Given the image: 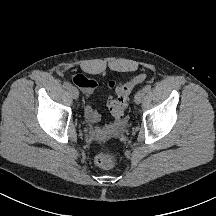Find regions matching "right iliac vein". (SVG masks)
Masks as SVG:
<instances>
[{"label": "right iliac vein", "mask_w": 216, "mask_h": 216, "mask_svg": "<svg viewBox=\"0 0 216 216\" xmlns=\"http://www.w3.org/2000/svg\"><path fill=\"white\" fill-rule=\"evenodd\" d=\"M69 93L72 96V98L77 99L79 97V91L76 87L71 86L69 88Z\"/></svg>", "instance_id": "right-iliac-vein-1"}]
</instances>
